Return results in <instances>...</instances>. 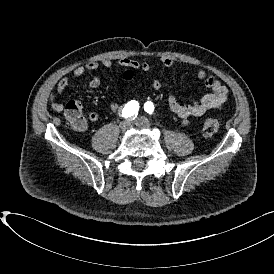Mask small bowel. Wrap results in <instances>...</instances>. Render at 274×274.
Segmentation results:
<instances>
[{
	"label": "small bowel",
	"mask_w": 274,
	"mask_h": 274,
	"mask_svg": "<svg viewBox=\"0 0 274 274\" xmlns=\"http://www.w3.org/2000/svg\"><path fill=\"white\" fill-rule=\"evenodd\" d=\"M161 63L165 67H172L174 60L170 57H162ZM116 64L120 67L137 69L143 72H149L152 69V65L148 61H137L131 58H120L116 61ZM114 62L111 59H101L100 61H90L77 67L73 71V77L79 78L83 75L89 74L91 78L87 84L89 89H96L101 85V78L94 72L99 68H111ZM196 77L198 80L203 81L204 85L208 88V93L203 95L199 100L190 104H181L177 98L169 93L167 95V103L170 110L180 119L184 126H188L190 119L195 116H201L213 109L221 108L228 96V89L221 81L214 75L208 74V71L201 67L197 70ZM69 84V78L63 77L60 79L57 85V93H62ZM151 86L155 90H159L162 86L161 82L157 79L152 80ZM51 107L56 112H61L64 109V104L55 100V95L50 97ZM108 107L112 112H119L121 105L117 102H109ZM100 120V114L92 111L87 115L86 119H82L78 123L72 124L73 129L78 132H84L88 128V124L96 123Z\"/></svg>",
	"instance_id": "obj_1"
}]
</instances>
